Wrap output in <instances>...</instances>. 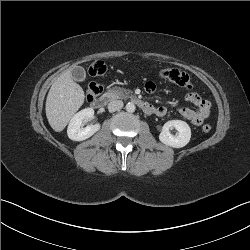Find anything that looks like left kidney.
<instances>
[{"label": "left kidney", "mask_w": 250, "mask_h": 250, "mask_svg": "<svg viewBox=\"0 0 250 250\" xmlns=\"http://www.w3.org/2000/svg\"><path fill=\"white\" fill-rule=\"evenodd\" d=\"M175 128L178 133L172 135L170 129ZM191 138V129L189 125L181 120H171L164 124L159 135V140L170 147L181 148L186 146Z\"/></svg>", "instance_id": "obj_1"}]
</instances>
